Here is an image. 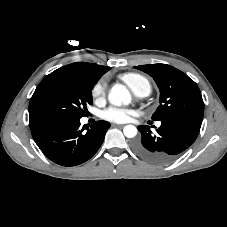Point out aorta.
<instances>
[{
    "instance_id": "1",
    "label": "aorta",
    "mask_w": 227,
    "mask_h": 227,
    "mask_svg": "<svg viewBox=\"0 0 227 227\" xmlns=\"http://www.w3.org/2000/svg\"><path fill=\"white\" fill-rule=\"evenodd\" d=\"M108 100L115 106L128 105L131 101V96L124 85L116 84L110 90ZM123 133L127 138H133L137 135V128L134 125H126L123 128Z\"/></svg>"
}]
</instances>
